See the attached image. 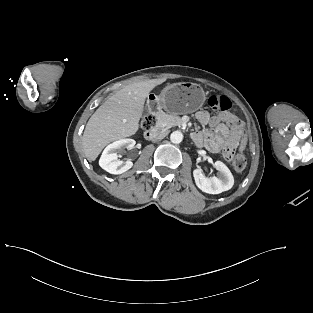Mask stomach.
<instances>
[{"mask_svg":"<svg viewBox=\"0 0 313 313\" xmlns=\"http://www.w3.org/2000/svg\"><path fill=\"white\" fill-rule=\"evenodd\" d=\"M206 99L204 90L188 82L174 83L165 87L160 95L149 99L157 110L164 109L171 114H187L197 111Z\"/></svg>","mask_w":313,"mask_h":313,"instance_id":"0dacf381","label":"stomach"}]
</instances>
